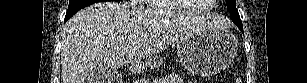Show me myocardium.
<instances>
[{"label":"myocardium","mask_w":307,"mask_h":83,"mask_svg":"<svg viewBox=\"0 0 307 83\" xmlns=\"http://www.w3.org/2000/svg\"><path fill=\"white\" fill-rule=\"evenodd\" d=\"M180 10L190 13H204L209 10L208 7H190L183 3V0H174Z\"/></svg>","instance_id":"f54148a6"}]
</instances>
